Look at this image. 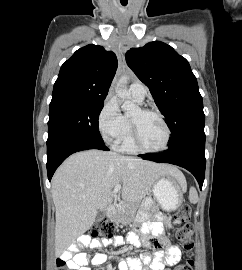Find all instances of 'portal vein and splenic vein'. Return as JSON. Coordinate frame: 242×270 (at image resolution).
Returning a JSON list of instances; mask_svg holds the SVG:
<instances>
[{
	"mask_svg": "<svg viewBox=\"0 0 242 270\" xmlns=\"http://www.w3.org/2000/svg\"><path fill=\"white\" fill-rule=\"evenodd\" d=\"M120 189H121V185L120 184L116 185L114 187L113 194L116 195L120 191Z\"/></svg>",
	"mask_w": 242,
	"mask_h": 270,
	"instance_id": "1",
	"label": "portal vein and splenic vein"
}]
</instances>
